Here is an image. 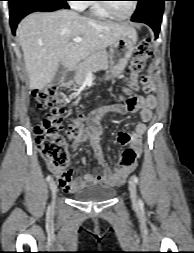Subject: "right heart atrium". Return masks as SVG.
<instances>
[{
    "label": "right heart atrium",
    "mask_w": 194,
    "mask_h": 253,
    "mask_svg": "<svg viewBox=\"0 0 194 253\" xmlns=\"http://www.w3.org/2000/svg\"><path fill=\"white\" fill-rule=\"evenodd\" d=\"M87 0H72L71 5L77 10H82L87 6Z\"/></svg>",
    "instance_id": "1"
}]
</instances>
